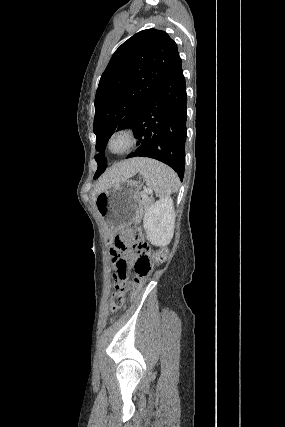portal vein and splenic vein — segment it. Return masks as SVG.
Listing matches in <instances>:
<instances>
[{
  "mask_svg": "<svg viewBox=\"0 0 285 427\" xmlns=\"http://www.w3.org/2000/svg\"><path fill=\"white\" fill-rule=\"evenodd\" d=\"M152 191H147V190H145L143 193H142V198L143 199H146L147 198V194L148 193H151Z\"/></svg>",
  "mask_w": 285,
  "mask_h": 427,
  "instance_id": "portal-vein-and-splenic-vein-1",
  "label": "portal vein and splenic vein"
}]
</instances>
